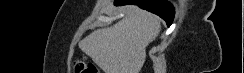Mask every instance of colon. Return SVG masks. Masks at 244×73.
I'll return each instance as SVG.
<instances>
[{
  "instance_id": "obj_1",
  "label": "colon",
  "mask_w": 244,
  "mask_h": 73,
  "mask_svg": "<svg viewBox=\"0 0 244 73\" xmlns=\"http://www.w3.org/2000/svg\"><path fill=\"white\" fill-rule=\"evenodd\" d=\"M73 69L75 73H99L97 67L93 63L85 60L74 62Z\"/></svg>"
}]
</instances>
